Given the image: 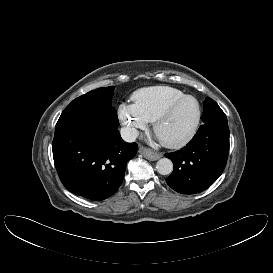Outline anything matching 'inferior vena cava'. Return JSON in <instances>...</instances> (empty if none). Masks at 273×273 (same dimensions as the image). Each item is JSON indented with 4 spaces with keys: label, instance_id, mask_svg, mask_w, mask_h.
Wrapping results in <instances>:
<instances>
[{
    "label": "inferior vena cava",
    "instance_id": "602c4592",
    "mask_svg": "<svg viewBox=\"0 0 273 273\" xmlns=\"http://www.w3.org/2000/svg\"><path fill=\"white\" fill-rule=\"evenodd\" d=\"M120 133L122 139L126 142H134L139 135L138 130L131 127H122Z\"/></svg>",
    "mask_w": 273,
    "mask_h": 273
}]
</instances>
